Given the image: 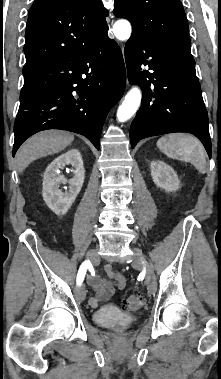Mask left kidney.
Masks as SVG:
<instances>
[{
  "label": "left kidney",
  "instance_id": "1",
  "mask_svg": "<svg viewBox=\"0 0 221 379\" xmlns=\"http://www.w3.org/2000/svg\"><path fill=\"white\" fill-rule=\"evenodd\" d=\"M151 176L157 187L167 192L179 189L180 181L174 169L162 161L151 162Z\"/></svg>",
  "mask_w": 221,
  "mask_h": 379
}]
</instances>
